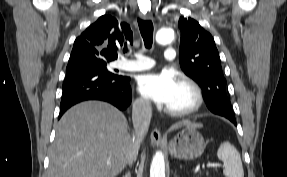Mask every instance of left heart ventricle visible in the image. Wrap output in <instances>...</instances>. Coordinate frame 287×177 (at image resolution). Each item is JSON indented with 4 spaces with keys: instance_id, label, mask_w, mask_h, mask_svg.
Returning <instances> with one entry per match:
<instances>
[{
    "instance_id": "obj_1",
    "label": "left heart ventricle",
    "mask_w": 287,
    "mask_h": 177,
    "mask_svg": "<svg viewBox=\"0 0 287 177\" xmlns=\"http://www.w3.org/2000/svg\"><path fill=\"white\" fill-rule=\"evenodd\" d=\"M191 103V96L187 89L178 84L173 96L166 105L169 108H182Z\"/></svg>"
}]
</instances>
